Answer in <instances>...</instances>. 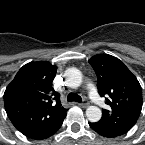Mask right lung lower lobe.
Instances as JSON below:
<instances>
[{
  "label": "right lung lower lobe",
  "mask_w": 145,
  "mask_h": 145,
  "mask_svg": "<svg viewBox=\"0 0 145 145\" xmlns=\"http://www.w3.org/2000/svg\"><path fill=\"white\" fill-rule=\"evenodd\" d=\"M65 116H63L54 126L49 128L48 130L34 134L30 136L29 138L34 139V140H43V139L49 138L50 136L55 134L58 131V129L61 127Z\"/></svg>",
  "instance_id": "obj_1"
}]
</instances>
